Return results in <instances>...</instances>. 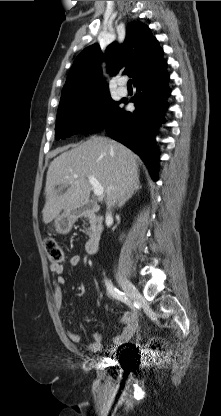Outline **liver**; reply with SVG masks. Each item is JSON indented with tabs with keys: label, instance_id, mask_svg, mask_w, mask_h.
<instances>
[{
	"label": "liver",
	"instance_id": "obj_1",
	"mask_svg": "<svg viewBox=\"0 0 221 416\" xmlns=\"http://www.w3.org/2000/svg\"><path fill=\"white\" fill-rule=\"evenodd\" d=\"M137 158L123 144L101 136H94L62 152L47 171L43 222L48 224L62 210H73L88 202L89 175L102 185L106 203L121 207L128 194L139 189ZM60 185H69L65 193L56 191L55 187Z\"/></svg>",
	"mask_w": 221,
	"mask_h": 416
}]
</instances>
